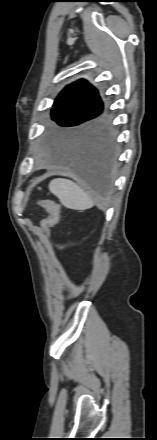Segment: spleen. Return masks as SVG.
Segmentation results:
<instances>
[{"label":"spleen","instance_id":"obj_1","mask_svg":"<svg viewBox=\"0 0 157 440\" xmlns=\"http://www.w3.org/2000/svg\"><path fill=\"white\" fill-rule=\"evenodd\" d=\"M49 190L68 209L84 211L94 206L93 200L76 183L68 179H53Z\"/></svg>","mask_w":157,"mask_h":440}]
</instances>
